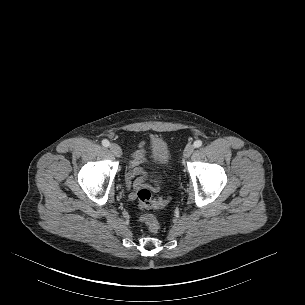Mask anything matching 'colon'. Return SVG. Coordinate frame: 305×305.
I'll return each mask as SVG.
<instances>
[{"instance_id":"1","label":"colon","mask_w":305,"mask_h":305,"mask_svg":"<svg viewBox=\"0 0 305 305\" xmlns=\"http://www.w3.org/2000/svg\"><path fill=\"white\" fill-rule=\"evenodd\" d=\"M138 207L141 212L140 219L145 224L150 233H158L161 229V224L158 218L147 213L149 209H157L165 206L169 198L153 199L151 191L148 188H140L137 193Z\"/></svg>"}]
</instances>
